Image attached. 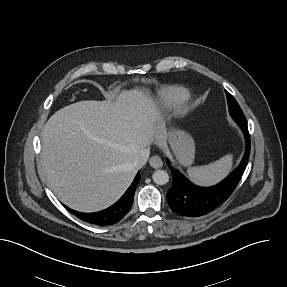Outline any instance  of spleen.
Returning <instances> with one entry per match:
<instances>
[{"label": "spleen", "instance_id": "3e777b00", "mask_svg": "<svg viewBox=\"0 0 287 287\" xmlns=\"http://www.w3.org/2000/svg\"><path fill=\"white\" fill-rule=\"evenodd\" d=\"M233 156L226 155L208 165L191 167L187 170L189 178L196 184L212 185L224 179L232 168Z\"/></svg>", "mask_w": 287, "mask_h": 287}]
</instances>
